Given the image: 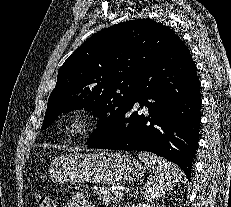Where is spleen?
I'll list each match as a JSON object with an SVG mask.
<instances>
[{"label": "spleen", "mask_w": 231, "mask_h": 207, "mask_svg": "<svg viewBox=\"0 0 231 207\" xmlns=\"http://www.w3.org/2000/svg\"><path fill=\"white\" fill-rule=\"evenodd\" d=\"M138 157L153 174L144 186L146 199L157 200L181 180L182 171L175 164L149 152H139Z\"/></svg>", "instance_id": "3e777b00"}]
</instances>
